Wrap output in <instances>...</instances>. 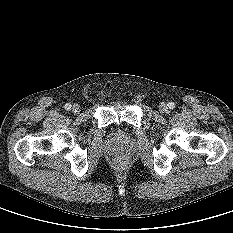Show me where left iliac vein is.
Instances as JSON below:
<instances>
[{
  "label": "left iliac vein",
  "mask_w": 233,
  "mask_h": 233,
  "mask_svg": "<svg viewBox=\"0 0 233 233\" xmlns=\"http://www.w3.org/2000/svg\"><path fill=\"white\" fill-rule=\"evenodd\" d=\"M159 109L162 113H166L168 111V106L166 103L162 102L160 105H159Z\"/></svg>",
  "instance_id": "left-iliac-vein-1"
}]
</instances>
